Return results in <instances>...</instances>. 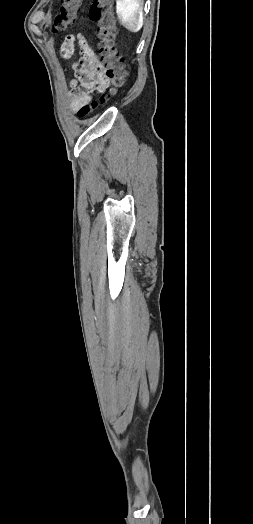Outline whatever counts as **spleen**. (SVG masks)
<instances>
[{
  "mask_svg": "<svg viewBox=\"0 0 253 524\" xmlns=\"http://www.w3.org/2000/svg\"><path fill=\"white\" fill-rule=\"evenodd\" d=\"M140 0H116V13L121 24L131 32H138L143 25Z\"/></svg>",
  "mask_w": 253,
  "mask_h": 524,
  "instance_id": "obj_1",
  "label": "spleen"
}]
</instances>
